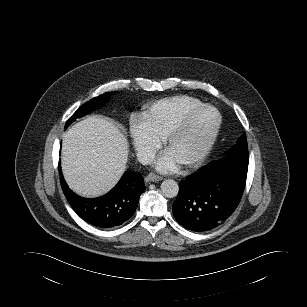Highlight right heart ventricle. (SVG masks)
I'll return each instance as SVG.
<instances>
[{"mask_svg":"<svg viewBox=\"0 0 307 307\" xmlns=\"http://www.w3.org/2000/svg\"><path fill=\"white\" fill-rule=\"evenodd\" d=\"M200 103L199 99L189 95L163 98L146 107L142 122L155 138L162 141L180 117L188 109Z\"/></svg>","mask_w":307,"mask_h":307,"instance_id":"right-heart-ventricle-1","label":"right heart ventricle"}]
</instances>
